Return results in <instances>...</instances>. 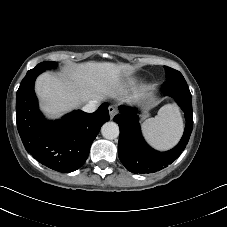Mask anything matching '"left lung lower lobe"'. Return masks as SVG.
I'll return each instance as SVG.
<instances>
[{"label":"left lung lower lobe","instance_id":"1","mask_svg":"<svg viewBox=\"0 0 227 227\" xmlns=\"http://www.w3.org/2000/svg\"><path fill=\"white\" fill-rule=\"evenodd\" d=\"M162 91L173 97L184 112L186 127L181 141L167 152L152 149L142 137L138 110L120 106V113L114 117L119 125L118 155L122 164L132 173H154L177 159L185 149L193 128L192 96L186 82H169L162 85Z\"/></svg>","mask_w":227,"mask_h":227}]
</instances>
